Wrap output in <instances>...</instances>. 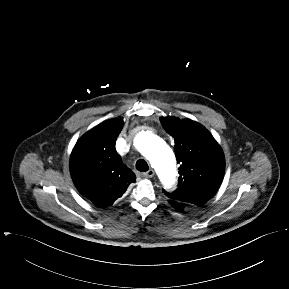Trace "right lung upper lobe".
Masks as SVG:
<instances>
[{
	"label": "right lung upper lobe",
	"mask_w": 289,
	"mask_h": 289,
	"mask_svg": "<svg viewBox=\"0 0 289 289\" xmlns=\"http://www.w3.org/2000/svg\"><path fill=\"white\" fill-rule=\"evenodd\" d=\"M123 121L107 120L83 135L70 158V170L79 192L95 205L106 207L120 198L136 176L115 149Z\"/></svg>",
	"instance_id": "right-lung-upper-lobe-1"
}]
</instances>
